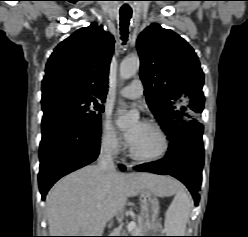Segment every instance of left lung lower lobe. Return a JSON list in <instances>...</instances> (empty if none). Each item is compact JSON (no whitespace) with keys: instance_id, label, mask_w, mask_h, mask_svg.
<instances>
[{"instance_id":"left-lung-lower-lobe-1","label":"left lung lower lobe","mask_w":248,"mask_h":237,"mask_svg":"<svg viewBox=\"0 0 248 237\" xmlns=\"http://www.w3.org/2000/svg\"><path fill=\"white\" fill-rule=\"evenodd\" d=\"M202 133L203 125L199 122L184 125L171 138L165 158L135 169L177 178L186 185L198 205L204 164Z\"/></svg>"}]
</instances>
